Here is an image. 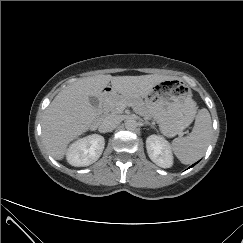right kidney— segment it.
<instances>
[{
	"instance_id": "right-kidney-1",
	"label": "right kidney",
	"mask_w": 243,
	"mask_h": 243,
	"mask_svg": "<svg viewBox=\"0 0 243 243\" xmlns=\"http://www.w3.org/2000/svg\"><path fill=\"white\" fill-rule=\"evenodd\" d=\"M104 146V137L98 134L78 139L69 146L66 153L67 161L75 167L89 166L99 159Z\"/></svg>"
}]
</instances>
